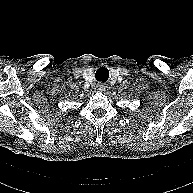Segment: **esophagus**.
I'll list each match as a JSON object with an SVG mask.
<instances>
[{
    "label": "esophagus",
    "mask_w": 193,
    "mask_h": 193,
    "mask_svg": "<svg viewBox=\"0 0 193 193\" xmlns=\"http://www.w3.org/2000/svg\"><path fill=\"white\" fill-rule=\"evenodd\" d=\"M97 89H98L99 91H104V90L106 89V85H105L104 83H99V84L97 85Z\"/></svg>",
    "instance_id": "34e87169"
}]
</instances>
